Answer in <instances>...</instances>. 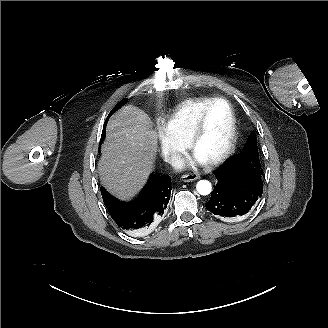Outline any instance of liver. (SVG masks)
<instances>
[{"label": "liver", "mask_w": 328, "mask_h": 328, "mask_svg": "<svg viewBox=\"0 0 328 328\" xmlns=\"http://www.w3.org/2000/svg\"><path fill=\"white\" fill-rule=\"evenodd\" d=\"M149 115L126 105L110 118L98 173L102 185L116 198L129 201L153 172L158 135Z\"/></svg>", "instance_id": "1"}]
</instances>
